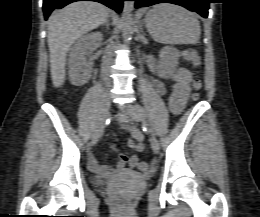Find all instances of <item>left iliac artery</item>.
<instances>
[{
	"instance_id": "44dca946",
	"label": "left iliac artery",
	"mask_w": 260,
	"mask_h": 217,
	"mask_svg": "<svg viewBox=\"0 0 260 217\" xmlns=\"http://www.w3.org/2000/svg\"><path fill=\"white\" fill-rule=\"evenodd\" d=\"M135 108L138 110L139 114L142 116L143 118V128L144 131H146L147 133H150L151 135L155 136V132L152 128L149 127V124L147 123V113L144 109L143 106L136 104Z\"/></svg>"
}]
</instances>
